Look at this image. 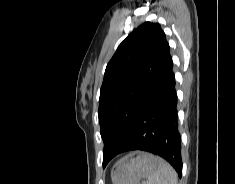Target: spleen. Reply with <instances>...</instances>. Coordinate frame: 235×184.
<instances>
[{
  "mask_svg": "<svg viewBox=\"0 0 235 184\" xmlns=\"http://www.w3.org/2000/svg\"><path fill=\"white\" fill-rule=\"evenodd\" d=\"M158 166L156 172L149 176L142 184H178L177 174L165 160L157 158Z\"/></svg>",
  "mask_w": 235,
  "mask_h": 184,
  "instance_id": "1",
  "label": "spleen"
}]
</instances>
